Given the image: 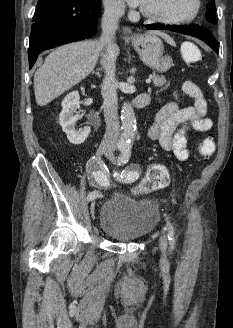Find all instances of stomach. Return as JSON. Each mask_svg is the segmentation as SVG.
<instances>
[{
	"mask_svg": "<svg viewBox=\"0 0 233 328\" xmlns=\"http://www.w3.org/2000/svg\"><path fill=\"white\" fill-rule=\"evenodd\" d=\"M132 45L149 67L160 72H165L171 67L172 59L164 56V45L157 35L150 33L138 35L132 38Z\"/></svg>",
	"mask_w": 233,
	"mask_h": 328,
	"instance_id": "stomach-1",
	"label": "stomach"
}]
</instances>
